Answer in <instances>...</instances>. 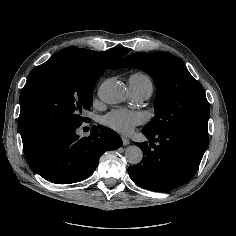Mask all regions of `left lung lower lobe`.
Here are the masks:
<instances>
[{
    "mask_svg": "<svg viewBox=\"0 0 236 236\" xmlns=\"http://www.w3.org/2000/svg\"><path fill=\"white\" fill-rule=\"evenodd\" d=\"M142 132L150 141L135 143L142 149L143 159L128 168L138 186L167 192L192 179L207 148V135L173 129L156 134Z\"/></svg>",
    "mask_w": 236,
    "mask_h": 236,
    "instance_id": "0a47b994",
    "label": "left lung lower lobe"
}]
</instances>
